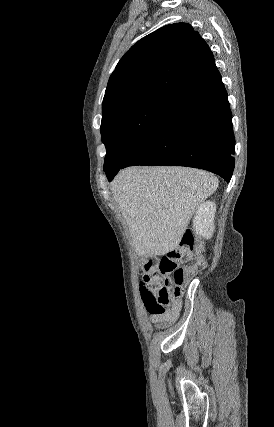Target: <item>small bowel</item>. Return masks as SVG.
<instances>
[{
    "label": "small bowel",
    "mask_w": 274,
    "mask_h": 427,
    "mask_svg": "<svg viewBox=\"0 0 274 427\" xmlns=\"http://www.w3.org/2000/svg\"><path fill=\"white\" fill-rule=\"evenodd\" d=\"M180 308H181V303L180 301L176 300L163 313L151 314V320L154 324L158 326L170 323L177 318L180 312Z\"/></svg>",
    "instance_id": "1"
}]
</instances>
